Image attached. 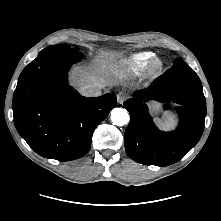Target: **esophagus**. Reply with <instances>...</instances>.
Here are the masks:
<instances>
[{"label": "esophagus", "instance_id": "esophagus-1", "mask_svg": "<svg viewBox=\"0 0 221 221\" xmlns=\"http://www.w3.org/2000/svg\"><path fill=\"white\" fill-rule=\"evenodd\" d=\"M128 95L125 92H119L117 94V101L119 104H123V102L127 99Z\"/></svg>", "mask_w": 221, "mask_h": 221}]
</instances>
